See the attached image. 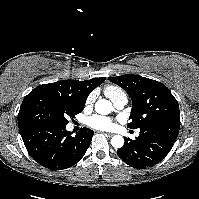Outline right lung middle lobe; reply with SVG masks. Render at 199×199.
<instances>
[{"mask_svg": "<svg viewBox=\"0 0 199 199\" xmlns=\"http://www.w3.org/2000/svg\"><path fill=\"white\" fill-rule=\"evenodd\" d=\"M85 103H73L60 96H53L46 101L34 99L23 101L18 114V126L53 125L66 126L68 118L82 112Z\"/></svg>", "mask_w": 199, "mask_h": 199, "instance_id": "dd1d6c3e", "label": "right lung middle lobe"}]
</instances>
